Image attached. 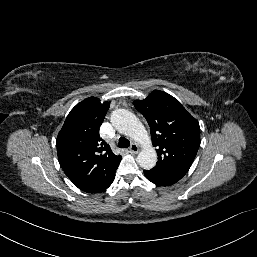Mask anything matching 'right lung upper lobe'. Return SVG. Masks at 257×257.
I'll use <instances>...</instances> for the list:
<instances>
[{
    "instance_id": "right-lung-upper-lobe-1",
    "label": "right lung upper lobe",
    "mask_w": 257,
    "mask_h": 257,
    "mask_svg": "<svg viewBox=\"0 0 257 257\" xmlns=\"http://www.w3.org/2000/svg\"><path fill=\"white\" fill-rule=\"evenodd\" d=\"M89 97L78 103L67 116L57 140L59 163L68 178L87 193L106 190L115 178L121 161L99 135V128L109 109Z\"/></svg>"
}]
</instances>
